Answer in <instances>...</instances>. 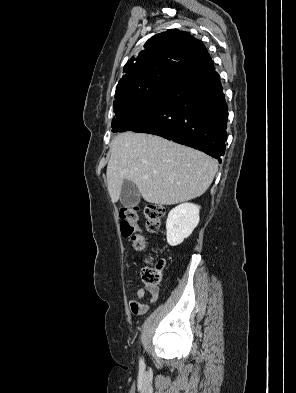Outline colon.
I'll list each match as a JSON object with an SVG mask.
<instances>
[{
	"mask_svg": "<svg viewBox=\"0 0 296 393\" xmlns=\"http://www.w3.org/2000/svg\"><path fill=\"white\" fill-rule=\"evenodd\" d=\"M138 208H124L120 213V230L124 238L129 239L133 248L142 251L145 248L143 236L138 229ZM144 216L146 219L147 229L155 232L159 229L161 222L165 216V208L160 204H147L144 207ZM141 271V278L144 284L151 292L158 290L163 276V263L161 260L152 261Z\"/></svg>",
	"mask_w": 296,
	"mask_h": 393,
	"instance_id": "1",
	"label": "colon"
}]
</instances>
